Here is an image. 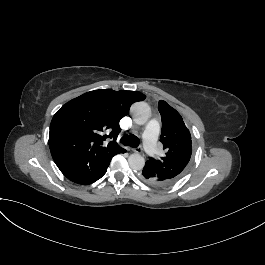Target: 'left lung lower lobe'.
<instances>
[{"label": "left lung lower lobe", "mask_w": 265, "mask_h": 265, "mask_svg": "<svg viewBox=\"0 0 265 265\" xmlns=\"http://www.w3.org/2000/svg\"><path fill=\"white\" fill-rule=\"evenodd\" d=\"M142 178L149 184L156 185V186H166L165 184L160 181V178L157 177L154 172L145 164L143 171H142Z\"/></svg>", "instance_id": "left-lung-lower-lobe-1"}]
</instances>
